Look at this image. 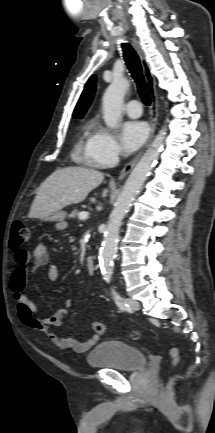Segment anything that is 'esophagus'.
<instances>
[{
	"label": "esophagus",
	"mask_w": 215,
	"mask_h": 433,
	"mask_svg": "<svg viewBox=\"0 0 215 433\" xmlns=\"http://www.w3.org/2000/svg\"><path fill=\"white\" fill-rule=\"evenodd\" d=\"M132 43H133V46H134L137 54L139 55L142 69H143V74H144L145 80L148 84L150 96H151V101H152V103H151V119H150L151 129H150V135H149L148 142L145 146V147H147L154 136V132H155L156 124H157V120H158V98H157V92H156V82H155V78L152 74L150 65L145 58L144 52H143L142 48L140 47L138 40L136 38H132ZM141 154H142V152L139 153L136 157H134L130 162H128L126 164V166L122 169V171L119 175V179L125 178L130 173V171L133 169V167L135 166V164L139 160Z\"/></svg>",
	"instance_id": "esophagus-1"
}]
</instances>
